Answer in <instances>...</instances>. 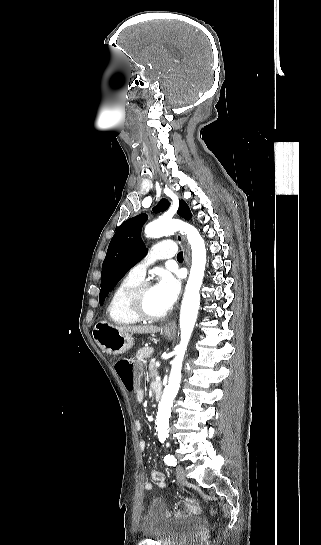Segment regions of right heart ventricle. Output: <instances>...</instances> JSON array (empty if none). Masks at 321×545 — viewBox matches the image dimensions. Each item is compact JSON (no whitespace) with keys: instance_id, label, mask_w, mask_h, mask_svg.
Instances as JSON below:
<instances>
[{"instance_id":"right-heart-ventricle-1","label":"right heart ventricle","mask_w":321,"mask_h":545,"mask_svg":"<svg viewBox=\"0 0 321 545\" xmlns=\"http://www.w3.org/2000/svg\"><path fill=\"white\" fill-rule=\"evenodd\" d=\"M142 282L127 274L121 278L112 292L106 307L110 323L114 326L125 327L136 324L138 320L131 317L126 311V297L130 290Z\"/></svg>"}]
</instances>
